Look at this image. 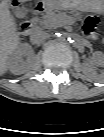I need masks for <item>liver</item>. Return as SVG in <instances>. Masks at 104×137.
<instances>
[{
    "label": "liver",
    "instance_id": "liver-1",
    "mask_svg": "<svg viewBox=\"0 0 104 137\" xmlns=\"http://www.w3.org/2000/svg\"><path fill=\"white\" fill-rule=\"evenodd\" d=\"M26 2L30 0H18ZM19 46V37L16 24L11 17L7 1L0 5V68L1 73L7 69L9 56L15 52Z\"/></svg>",
    "mask_w": 104,
    "mask_h": 137
}]
</instances>
